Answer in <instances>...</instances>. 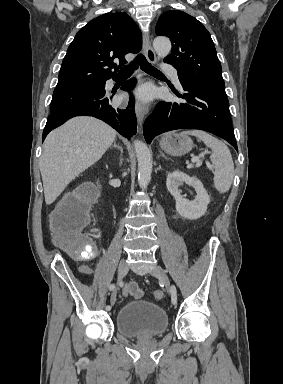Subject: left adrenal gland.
Here are the masks:
<instances>
[{"mask_svg": "<svg viewBox=\"0 0 283 384\" xmlns=\"http://www.w3.org/2000/svg\"><path fill=\"white\" fill-rule=\"evenodd\" d=\"M160 156H162V158H165V160H167L166 156H164L163 152H160Z\"/></svg>", "mask_w": 283, "mask_h": 384, "instance_id": "obj_1", "label": "left adrenal gland"}]
</instances>
